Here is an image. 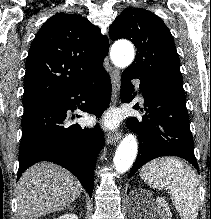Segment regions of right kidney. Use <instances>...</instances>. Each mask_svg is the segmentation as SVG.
Masks as SVG:
<instances>
[{
	"instance_id": "1",
	"label": "right kidney",
	"mask_w": 211,
	"mask_h": 219,
	"mask_svg": "<svg viewBox=\"0 0 211 219\" xmlns=\"http://www.w3.org/2000/svg\"><path fill=\"white\" fill-rule=\"evenodd\" d=\"M57 219H78V216L76 214H64Z\"/></svg>"
}]
</instances>
